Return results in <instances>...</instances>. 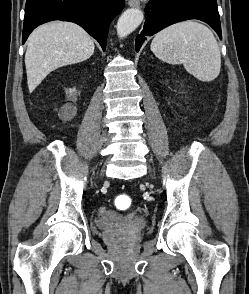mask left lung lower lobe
Masks as SVG:
<instances>
[{
    "label": "left lung lower lobe",
    "instance_id": "1",
    "mask_svg": "<svg viewBox=\"0 0 249 294\" xmlns=\"http://www.w3.org/2000/svg\"><path fill=\"white\" fill-rule=\"evenodd\" d=\"M144 28L136 38L138 52L145 36H151L174 23L198 19L209 24L222 39L221 24L216 0H151L145 8Z\"/></svg>",
    "mask_w": 249,
    "mask_h": 294
}]
</instances>
